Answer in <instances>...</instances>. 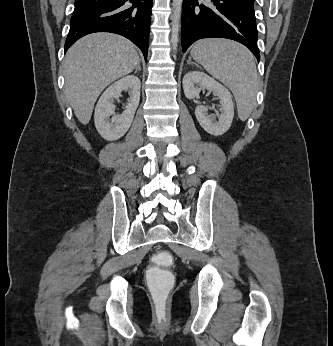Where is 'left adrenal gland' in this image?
Listing matches in <instances>:
<instances>
[{"mask_svg": "<svg viewBox=\"0 0 333 346\" xmlns=\"http://www.w3.org/2000/svg\"><path fill=\"white\" fill-rule=\"evenodd\" d=\"M187 64H188V65H192V64L197 65L196 63H194V62L191 61V57H190V56H189V59H188V61H187Z\"/></svg>", "mask_w": 333, "mask_h": 346, "instance_id": "left-adrenal-gland-1", "label": "left adrenal gland"}]
</instances>
